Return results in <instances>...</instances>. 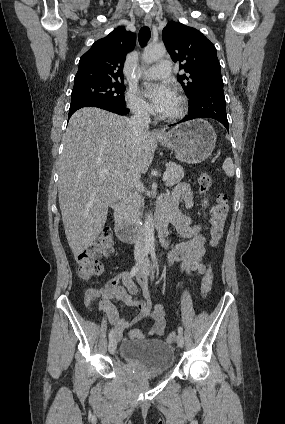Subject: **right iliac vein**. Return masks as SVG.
<instances>
[{"label": "right iliac vein", "instance_id": "right-iliac-vein-1", "mask_svg": "<svg viewBox=\"0 0 285 424\" xmlns=\"http://www.w3.org/2000/svg\"><path fill=\"white\" fill-rule=\"evenodd\" d=\"M138 260H139V258H138ZM116 346H117V341H116L115 338H112L109 341V345H108V350H109L110 354H114V352L116 350Z\"/></svg>", "mask_w": 285, "mask_h": 424}]
</instances>
